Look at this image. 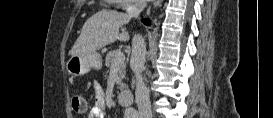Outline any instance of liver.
Returning a JSON list of instances; mask_svg holds the SVG:
<instances>
[{
	"label": "liver",
	"mask_w": 273,
	"mask_h": 118,
	"mask_svg": "<svg viewBox=\"0 0 273 118\" xmlns=\"http://www.w3.org/2000/svg\"><path fill=\"white\" fill-rule=\"evenodd\" d=\"M128 14L101 10L92 15L83 25L81 34L71 49V55H85L96 52L116 40L126 41L129 34L119 28L130 21Z\"/></svg>",
	"instance_id": "1"
}]
</instances>
